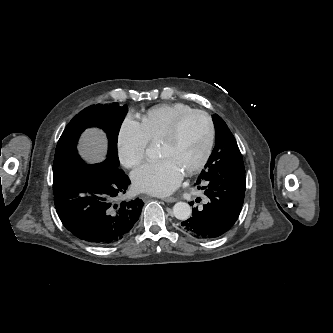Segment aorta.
Returning a JSON list of instances; mask_svg holds the SVG:
<instances>
[{"instance_id": "obj_1", "label": "aorta", "mask_w": 333, "mask_h": 333, "mask_svg": "<svg viewBox=\"0 0 333 333\" xmlns=\"http://www.w3.org/2000/svg\"><path fill=\"white\" fill-rule=\"evenodd\" d=\"M153 150L148 149L147 154L149 156L153 155ZM192 212L191 207L186 202H177L173 207V214L179 220H186L190 217Z\"/></svg>"}]
</instances>
